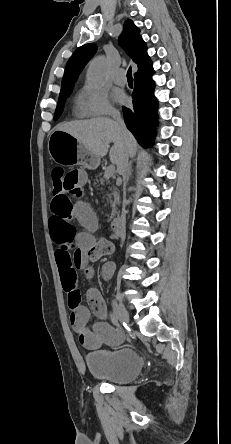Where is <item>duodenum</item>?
Here are the masks:
<instances>
[{"instance_id":"410a0bca","label":"duodenum","mask_w":231,"mask_h":444,"mask_svg":"<svg viewBox=\"0 0 231 444\" xmlns=\"http://www.w3.org/2000/svg\"><path fill=\"white\" fill-rule=\"evenodd\" d=\"M120 222L121 220L119 218H116L110 224V230L115 236H122L123 231L118 228L120 226Z\"/></svg>"}]
</instances>
